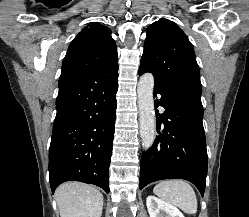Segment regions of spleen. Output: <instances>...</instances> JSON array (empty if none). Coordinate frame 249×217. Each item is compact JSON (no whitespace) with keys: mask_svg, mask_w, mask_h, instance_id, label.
Listing matches in <instances>:
<instances>
[{"mask_svg":"<svg viewBox=\"0 0 249 217\" xmlns=\"http://www.w3.org/2000/svg\"><path fill=\"white\" fill-rule=\"evenodd\" d=\"M154 193L178 206L187 214L197 212V198L192 186L184 180H165L154 187Z\"/></svg>","mask_w":249,"mask_h":217,"instance_id":"obj_1","label":"spleen"}]
</instances>
